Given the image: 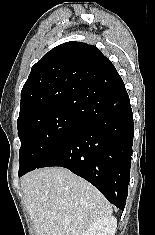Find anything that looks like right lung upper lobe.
Returning a JSON list of instances; mask_svg holds the SVG:
<instances>
[{
	"instance_id": "right-lung-upper-lobe-1",
	"label": "right lung upper lobe",
	"mask_w": 155,
	"mask_h": 235,
	"mask_svg": "<svg viewBox=\"0 0 155 235\" xmlns=\"http://www.w3.org/2000/svg\"><path fill=\"white\" fill-rule=\"evenodd\" d=\"M118 78L111 61L96 46L61 44L31 68L21 91L19 116L46 105L64 106L79 113L87 92Z\"/></svg>"
}]
</instances>
